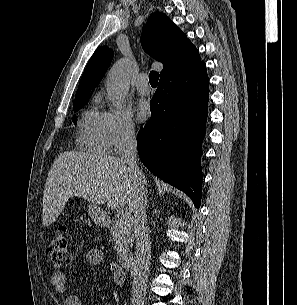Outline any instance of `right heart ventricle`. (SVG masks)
Instances as JSON below:
<instances>
[{
  "label": "right heart ventricle",
  "instance_id": "e07e8e85",
  "mask_svg": "<svg viewBox=\"0 0 297 305\" xmlns=\"http://www.w3.org/2000/svg\"><path fill=\"white\" fill-rule=\"evenodd\" d=\"M76 140L84 151L106 153L108 142L103 126V113L95 107L87 108L81 115Z\"/></svg>",
  "mask_w": 297,
  "mask_h": 305
}]
</instances>
